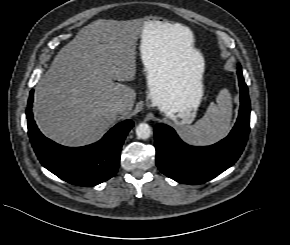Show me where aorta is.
Listing matches in <instances>:
<instances>
[{"label":"aorta","mask_w":290,"mask_h":245,"mask_svg":"<svg viewBox=\"0 0 290 245\" xmlns=\"http://www.w3.org/2000/svg\"><path fill=\"white\" fill-rule=\"evenodd\" d=\"M136 135L139 139H148L152 135V129L147 123H140L136 127Z\"/></svg>","instance_id":"obj_1"}]
</instances>
